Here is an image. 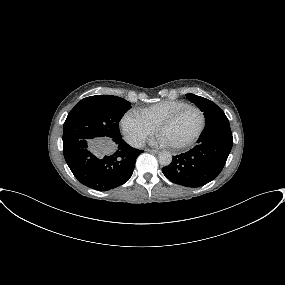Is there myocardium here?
<instances>
[{"label":"myocardium","instance_id":"myocardium-1","mask_svg":"<svg viewBox=\"0 0 285 285\" xmlns=\"http://www.w3.org/2000/svg\"><path fill=\"white\" fill-rule=\"evenodd\" d=\"M189 108L195 109L199 113L201 119L200 127L198 131L189 140L185 141L184 143L178 145H169V147L172 149L175 150L184 149L194 144L200 138L206 126V117L202 109L193 104H186L175 110L172 114H170L168 117L162 120L156 127V131L160 133V131L166 126L170 125L183 110Z\"/></svg>","mask_w":285,"mask_h":285}]
</instances>
